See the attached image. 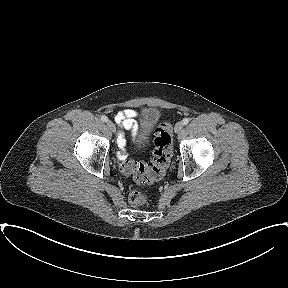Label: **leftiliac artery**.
<instances>
[{
	"instance_id": "44dca946",
	"label": "left iliac artery",
	"mask_w": 288,
	"mask_h": 288,
	"mask_svg": "<svg viewBox=\"0 0 288 288\" xmlns=\"http://www.w3.org/2000/svg\"><path fill=\"white\" fill-rule=\"evenodd\" d=\"M183 125H187L189 123V118H184L182 120Z\"/></svg>"
}]
</instances>
